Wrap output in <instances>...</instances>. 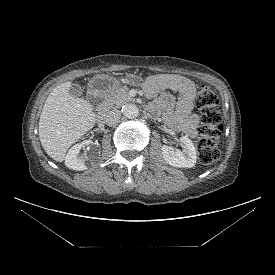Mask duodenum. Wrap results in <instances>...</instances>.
<instances>
[{"instance_id": "1", "label": "duodenum", "mask_w": 275, "mask_h": 275, "mask_svg": "<svg viewBox=\"0 0 275 275\" xmlns=\"http://www.w3.org/2000/svg\"><path fill=\"white\" fill-rule=\"evenodd\" d=\"M92 96L93 98L99 102L98 112H97V122H102L106 112H107V104L104 101V94L99 89H93L92 90Z\"/></svg>"}]
</instances>
